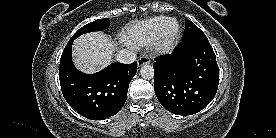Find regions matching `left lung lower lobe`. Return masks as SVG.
I'll return each instance as SVG.
<instances>
[{"instance_id": "obj_1", "label": "left lung lower lobe", "mask_w": 276, "mask_h": 138, "mask_svg": "<svg viewBox=\"0 0 276 138\" xmlns=\"http://www.w3.org/2000/svg\"><path fill=\"white\" fill-rule=\"evenodd\" d=\"M154 90L162 106L177 115H192L214 98L219 67L207 38L178 44L173 53L157 57Z\"/></svg>"}]
</instances>
